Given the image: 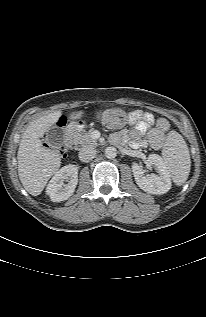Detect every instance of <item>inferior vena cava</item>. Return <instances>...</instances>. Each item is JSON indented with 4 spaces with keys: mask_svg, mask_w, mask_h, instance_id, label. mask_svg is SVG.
<instances>
[{
    "mask_svg": "<svg viewBox=\"0 0 206 317\" xmlns=\"http://www.w3.org/2000/svg\"><path fill=\"white\" fill-rule=\"evenodd\" d=\"M96 156V149L93 147H84L79 152V159L82 162H89Z\"/></svg>",
    "mask_w": 206,
    "mask_h": 317,
    "instance_id": "602c4592",
    "label": "inferior vena cava"
}]
</instances>
